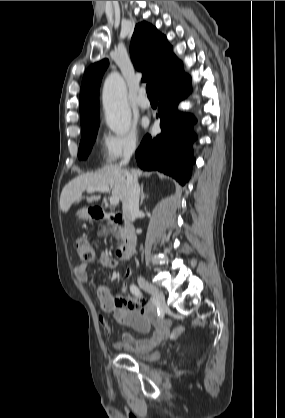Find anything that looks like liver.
Masks as SVG:
<instances>
[{
  "label": "liver",
  "instance_id": "6515ba94",
  "mask_svg": "<svg viewBox=\"0 0 285 418\" xmlns=\"http://www.w3.org/2000/svg\"><path fill=\"white\" fill-rule=\"evenodd\" d=\"M127 174L138 180L142 176V171L138 169L127 171L117 165H109L94 173H86L76 177L62 190L60 196L61 211L67 213L72 204L79 202L82 199V193L89 188L110 187L112 195L122 200L126 192ZM99 198L100 196H91L87 199V202L92 203Z\"/></svg>",
  "mask_w": 285,
  "mask_h": 418
}]
</instances>
